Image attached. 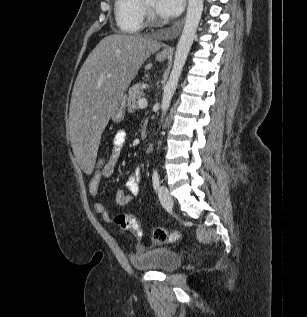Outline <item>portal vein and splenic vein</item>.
Segmentation results:
<instances>
[{
  "mask_svg": "<svg viewBox=\"0 0 307 317\" xmlns=\"http://www.w3.org/2000/svg\"><path fill=\"white\" fill-rule=\"evenodd\" d=\"M138 107L143 109L147 107V100L145 98H141L138 100Z\"/></svg>",
  "mask_w": 307,
  "mask_h": 317,
  "instance_id": "obj_1",
  "label": "portal vein and splenic vein"
}]
</instances>
